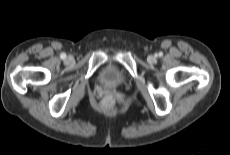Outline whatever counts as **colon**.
I'll return each mask as SVG.
<instances>
[{
	"label": "colon",
	"mask_w": 230,
	"mask_h": 155,
	"mask_svg": "<svg viewBox=\"0 0 230 155\" xmlns=\"http://www.w3.org/2000/svg\"><path fill=\"white\" fill-rule=\"evenodd\" d=\"M104 106L106 107V109L108 110H113L114 109V102L112 99L107 98L104 102Z\"/></svg>",
	"instance_id": "obj_1"
}]
</instances>
